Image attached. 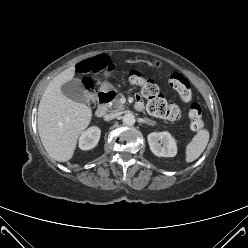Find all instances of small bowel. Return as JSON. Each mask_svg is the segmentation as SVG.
Wrapping results in <instances>:
<instances>
[{
    "label": "small bowel",
    "instance_id": "obj_1",
    "mask_svg": "<svg viewBox=\"0 0 248 248\" xmlns=\"http://www.w3.org/2000/svg\"><path fill=\"white\" fill-rule=\"evenodd\" d=\"M138 107H141L140 102H138ZM178 116H179V111H177V114L175 116L171 117L170 119H176V118H178Z\"/></svg>",
    "mask_w": 248,
    "mask_h": 248
}]
</instances>
